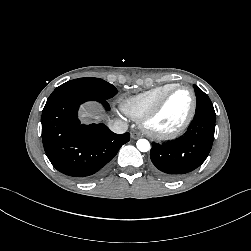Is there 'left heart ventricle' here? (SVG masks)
Returning <instances> with one entry per match:
<instances>
[{
    "instance_id": "obj_1",
    "label": "left heart ventricle",
    "mask_w": 251,
    "mask_h": 251,
    "mask_svg": "<svg viewBox=\"0 0 251 251\" xmlns=\"http://www.w3.org/2000/svg\"><path fill=\"white\" fill-rule=\"evenodd\" d=\"M192 104L188 90H177L170 95L160 113L152 122L158 131H171L179 127L186 119Z\"/></svg>"
}]
</instances>
